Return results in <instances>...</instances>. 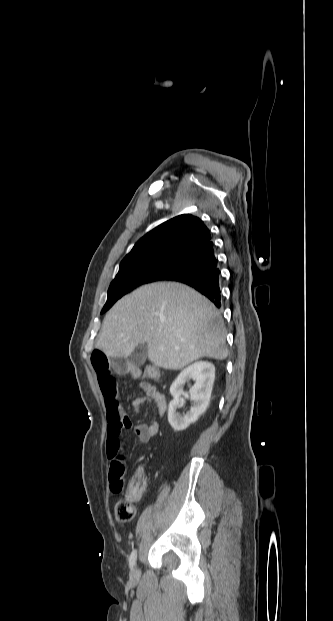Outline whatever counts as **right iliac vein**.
Here are the masks:
<instances>
[{"mask_svg":"<svg viewBox=\"0 0 333 621\" xmlns=\"http://www.w3.org/2000/svg\"><path fill=\"white\" fill-rule=\"evenodd\" d=\"M132 579H137L139 577V569L138 567H134L131 573Z\"/></svg>","mask_w":333,"mask_h":621,"instance_id":"63e3f726","label":"right iliac vein"}]
</instances>
